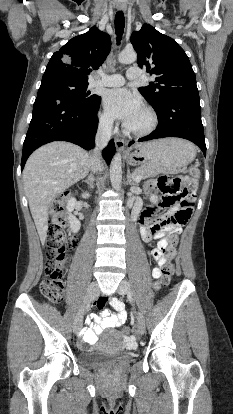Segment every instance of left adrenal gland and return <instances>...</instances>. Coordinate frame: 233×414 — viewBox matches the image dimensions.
Instances as JSON below:
<instances>
[{
  "label": "left adrenal gland",
  "instance_id": "obj_1",
  "mask_svg": "<svg viewBox=\"0 0 233 414\" xmlns=\"http://www.w3.org/2000/svg\"><path fill=\"white\" fill-rule=\"evenodd\" d=\"M127 184H129V185H135L136 183L132 180V175H131V173H130V170L128 169V172H127Z\"/></svg>",
  "mask_w": 233,
  "mask_h": 414
}]
</instances>
